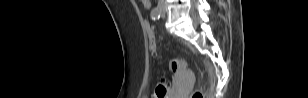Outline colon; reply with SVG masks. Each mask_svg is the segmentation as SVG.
<instances>
[{"label":"colon","instance_id":"obj_1","mask_svg":"<svg viewBox=\"0 0 308 98\" xmlns=\"http://www.w3.org/2000/svg\"><path fill=\"white\" fill-rule=\"evenodd\" d=\"M145 13V12H144ZM145 30L148 31L149 46L152 54L156 51V39L154 35V25L146 24ZM170 69L174 72H180L185 69L186 63L181 58H172L169 62ZM170 85L168 83H161L157 86L155 90V98H165L169 92ZM190 98H204V93L200 90H195L191 93Z\"/></svg>","mask_w":308,"mask_h":98}]
</instances>
